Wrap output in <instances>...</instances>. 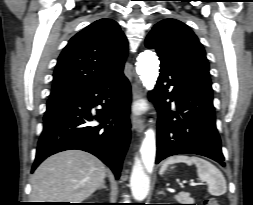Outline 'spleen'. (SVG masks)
<instances>
[{
	"mask_svg": "<svg viewBox=\"0 0 253 205\" xmlns=\"http://www.w3.org/2000/svg\"><path fill=\"white\" fill-rule=\"evenodd\" d=\"M194 164L200 180L208 185V192L214 196H220L227 191L226 180L222 172L212 163L197 156L177 155L169 157L162 165L160 174H163L168 165L174 163Z\"/></svg>",
	"mask_w": 253,
	"mask_h": 205,
	"instance_id": "3e777b00",
	"label": "spleen"
}]
</instances>
